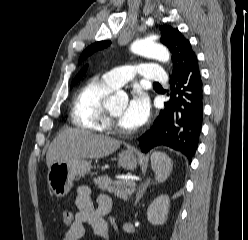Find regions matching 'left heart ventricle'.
<instances>
[{
	"instance_id": "left-heart-ventricle-1",
	"label": "left heart ventricle",
	"mask_w": 248,
	"mask_h": 240,
	"mask_svg": "<svg viewBox=\"0 0 248 240\" xmlns=\"http://www.w3.org/2000/svg\"><path fill=\"white\" fill-rule=\"evenodd\" d=\"M126 107L127 101H123L120 104L110 108L109 111L123 128L129 129V127L122 120Z\"/></svg>"
}]
</instances>
